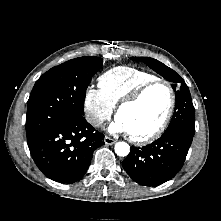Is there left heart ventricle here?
<instances>
[{"label": "left heart ventricle", "instance_id": "obj_1", "mask_svg": "<svg viewBox=\"0 0 221 221\" xmlns=\"http://www.w3.org/2000/svg\"><path fill=\"white\" fill-rule=\"evenodd\" d=\"M169 101L168 88L163 84H157L151 87L137 103L122 109L118 119L133 136L147 135L161 124Z\"/></svg>", "mask_w": 221, "mask_h": 221}]
</instances>
